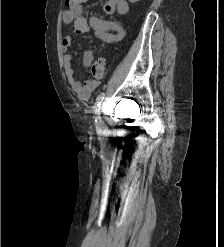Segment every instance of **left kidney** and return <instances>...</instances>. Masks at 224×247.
Here are the masks:
<instances>
[{"label":"left kidney","mask_w":224,"mask_h":247,"mask_svg":"<svg viewBox=\"0 0 224 247\" xmlns=\"http://www.w3.org/2000/svg\"><path fill=\"white\" fill-rule=\"evenodd\" d=\"M129 2H131V4H134V2H139V0H129Z\"/></svg>","instance_id":"5707ae66"}]
</instances>
